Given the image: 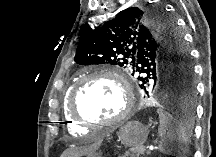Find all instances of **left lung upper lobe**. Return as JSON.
<instances>
[{
  "mask_svg": "<svg viewBox=\"0 0 216 157\" xmlns=\"http://www.w3.org/2000/svg\"><path fill=\"white\" fill-rule=\"evenodd\" d=\"M74 61L131 68L132 75L139 74L146 94L158 89L179 96L191 107L194 104L189 52L175 22L159 7H129L90 30L80 40Z\"/></svg>",
  "mask_w": 216,
  "mask_h": 157,
  "instance_id": "5c2ea615",
  "label": "left lung upper lobe"
}]
</instances>
